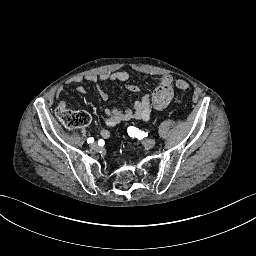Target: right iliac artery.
I'll return each instance as SVG.
<instances>
[{
  "mask_svg": "<svg viewBox=\"0 0 256 256\" xmlns=\"http://www.w3.org/2000/svg\"><path fill=\"white\" fill-rule=\"evenodd\" d=\"M87 142H88V143H93V142H94V138H92V137H91V138H88V139H87Z\"/></svg>",
  "mask_w": 256,
  "mask_h": 256,
  "instance_id": "1",
  "label": "right iliac artery"
}]
</instances>
